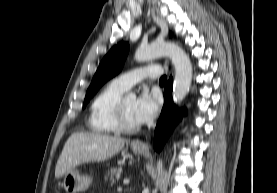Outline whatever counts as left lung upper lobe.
<instances>
[{"instance_id": "obj_1", "label": "left lung upper lobe", "mask_w": 277, "mask_h": 193, "mask_svg": "<svg viewBox=\"0 0 277 193\" xmlns=\"http://www.w3.org/2000/svg\"><path fill=\"white\" fill-rule=\"evenodd\" d=\"M128 52L129 44L121 42L117 46H114L103 58L87 90L83 107L86 106L89 100L105 82L121 71Z\"/></svg>"}]
</instances>
